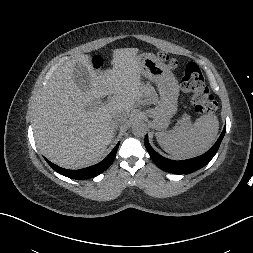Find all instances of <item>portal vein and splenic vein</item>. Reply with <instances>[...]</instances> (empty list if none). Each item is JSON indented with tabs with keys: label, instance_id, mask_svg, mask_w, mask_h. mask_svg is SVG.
<instances>
[{
	"label": "portal vein and splenic vein",
	"instance_id": "portal-vein-and-splenic-vein-1",
	"mask_svg": "<svg viewBox=\"0 0 253 253\" xmlns=\"http://www.w3.org/2000/svg\"><path fill=\"white\" fill-rule=\"evenodd\" d=\"M97 105H100L101 104V102L100 101H98L97 103H96ZM189 120L190 119V117L189 116H186L185 118H183L182 120H179V123H181V124H184L185 122H186V120Z\"/></svg>",
	"mask_w": 253,
	"mask_h": 253
}]
</instances>
